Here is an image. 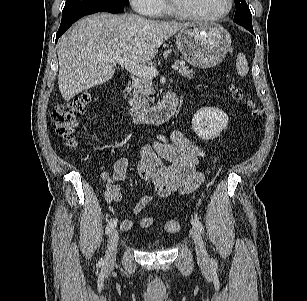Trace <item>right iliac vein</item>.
<instances>
[{
    "label": "right iliac vein",
    "mask_w": 307,
    "mask_h": 301,
    "mask_svg": "<svg viewBox=\"0 0 307 301\" xmlns=\"http://www.w3.org/2000/svg\"><path fill=\"white\" fill-rule=\"evenodd\" d=\"M119 240V233L114 229L108 239L107 250L104 263L107 267H113L116 262V252Z\"/></svg>",
    "instance_id": "right-iliac-vein-1"
}]
</instances>
